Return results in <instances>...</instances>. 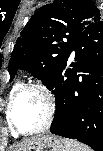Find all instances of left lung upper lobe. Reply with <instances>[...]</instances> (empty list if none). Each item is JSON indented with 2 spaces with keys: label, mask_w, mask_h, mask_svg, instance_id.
I'll return each mask as SVG.
<instances>
[{
  "label": "left lung upper lobe",
  "mask_w": 103,
  "mask_h": 151,
  "mask_svg": "<svg viewBox=\"0 0 103 151\" xmlns=\"http://www.w3.org/2000/svg\"><path fill=\"white\" fill-rule=\"evenodd\" d=\"M96 24L103 26V19L91 0H54L38 8L14 46L10 80L24 69L47 85L66 62L78 36Z\"/></svg>",
  "instance_id": "obj_1"
}]
</instances>
